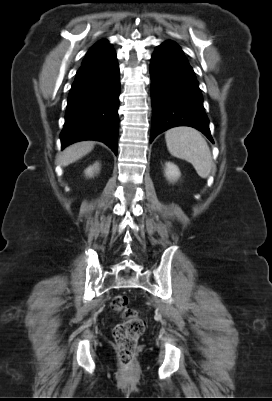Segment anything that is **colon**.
<instances>
[{"mask_svg": "<svg viewBox=\"0 0 272 401\" xmlns=\"http://www.w3.org/2000/svg\"><path fill=\"white\" fill-rule=\"evenodd\" d=\"M111 309L114 313H121L125 319L115 327L113 335L121 362L129 365L135 356L138 340L145 330V322L137 310L128 308V298L124 295H117L112 299Z\"/></svg>", "mask_w": 272, "mask_h": 401, "instance_id": "colon-1", "label": "colon"}]
</instances>
